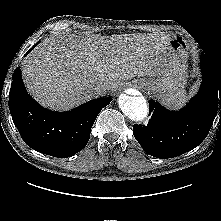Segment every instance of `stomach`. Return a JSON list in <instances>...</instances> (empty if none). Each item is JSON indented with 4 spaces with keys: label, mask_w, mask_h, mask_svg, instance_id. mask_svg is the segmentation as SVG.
<instances>
[{
    "label": "stomach",
    "mask_w": 221,
    "mask_h": 221,
    "mask_svg": "<svg viewBox=\"0 0 221 221\" xmlns=\"http://www.w3.org/2000/svg\"><path fill=\"white\" fill-rule=\"evenodd\" d=\"M188 43L176 36L169 42L170 60L154 78H141L135 81L141 89L152 92L165 104L179 105L185 98L187 78Z\"/></svg>",
    "instance_id": "stomach-1"
}]
</instances>
